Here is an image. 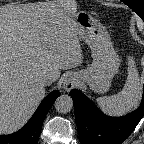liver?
<instances>
[{
    "label": "liver",
    "mask_w": 144,
    "mask_h": 144,
    "mask_svg": "<svg viewBox=\"0 0 144 144\" xmlns=\"http://www.w3.org/2000/svg\"><path fill=\"white\" fill-rule=\"evenodd\" d=\"M75 0L0 11V134L19 130L45 96L40 80L82 63Z\"/></svg>",
    "instance_id": "6515ba94"
}]
</instances>
